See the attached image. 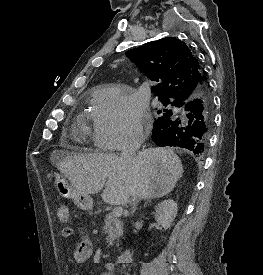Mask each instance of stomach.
<instances>
[{
    "label": "stomach",
    "mask_w": 263,
    "mask_h": 275,
    "mask_svg": "<svg viewBox=\"0 0 263 275\" xmlns=\"http://www.w3.org/2000/svg\"><path fill=\"white\" fill-rule=\"evenodd\" d=\"M54 176V187L60 196L72 199L75 205L82 210L93 209V200L89 195L77 190L64 175L55 173Z\"/></svg>",
    "instance_id": "stomach-1"
}]
</instances>
